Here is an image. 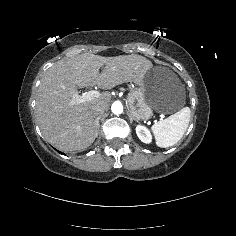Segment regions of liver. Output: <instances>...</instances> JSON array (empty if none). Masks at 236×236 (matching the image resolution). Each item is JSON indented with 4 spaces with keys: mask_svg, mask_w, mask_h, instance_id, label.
Listing matches in <instances>:
<instances>
[{
    "mask_svg": "<svg viewBox=\"0 0 236 236\" xmlns=\"http://www.w3.org/2000/svg\"><path fill=\"white\" fill-rule=\"evenodd\" d=\"M152 67L149 59L138 54L105 58L82 53L57 61L45 71L38 87L35 113L42 135L60 151L89 147L97 130L93 106L106 109L110 93L104 91L99 98L75 104L77 85L112 88L126 81L141 83Z\"/></svg>",
    "mask_w": 236,
    "mask_h": 236,
    "instance_id": "1",
    "label": "liver"
}]
</instances>
